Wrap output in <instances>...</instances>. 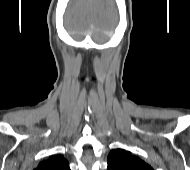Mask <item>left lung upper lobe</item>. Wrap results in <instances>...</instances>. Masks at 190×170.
I'll list each match as a JSON object with an SVG mask.
<instances>
[{
  "mask_svg": "<svg viewBox=\"0 0 190 170\" xmlns=\"http://www.w3.org/2000/svg\"><path fill=\"white\" fill-rule=\"evenodd\" d=\"M107 170H154L140 158L124 149L112 150L107 158Z\"/></svg>",
  "mask_w": 190,
  "mask_h": 170,
  "instance_id": "obj_1",
  "label": "left lung upper lobe"
}]
</instances>
